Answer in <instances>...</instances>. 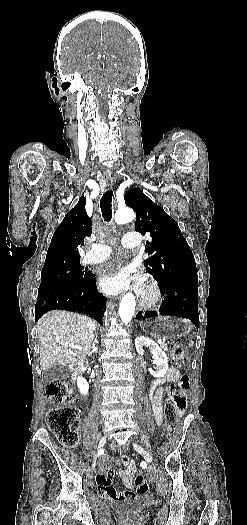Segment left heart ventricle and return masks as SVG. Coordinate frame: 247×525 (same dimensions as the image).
Wrapping results in <instances>:
<instances>
[{"label":"left heart ventricle","instance_id":"1","mask_svg":"<svg viewBox=\"0 0 247 525\" xmlns=\"http://www.w3.org/2000/svg\"><path fill=\"white\" fill-rule=\"evenodd\" d=\"M135 266H136V261H134V260L127 261L124 264V268L126 270H133L135 268ZM143 288H144V291H146L147 288H148V283L146 281L144 282Z\"/></svg>","mask_w":247,"mask_h":525}]
</instances>
